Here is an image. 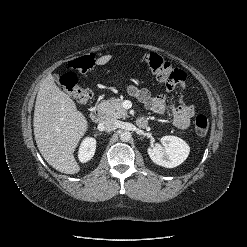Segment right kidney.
Here are the masks:
<instances>
[{
  "label": "right kidney",
  "instance_id": "obj_1",
  "mask_svg": "<svg viewBox=\"0 0 247 247\" xmlns=\"http://www.w3.org/2000/svg\"><path fill=\"white\" fill-rule=\"evenodd\" d=\"M96 140L91 137H87L80 145L78 158L82 163L89 161L95 153Z\"/></svg>",
  "mask_w": 247,
  "mask_h": 247
}]
</instances>
